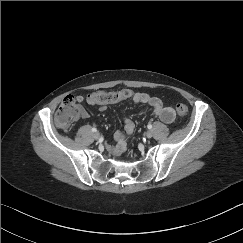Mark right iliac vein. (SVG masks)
<instances>
[{
  "label": "right iliac vein",
  "instance_id": "1",
  "mask_svg": "<svg viewBox=\"0 0 243 243\" xmlns=\"http://www.w3.org/2000/svg\"><path fill=\"white\" fill-rule=\"evenodd\" d=\"M99 137H100L99 133L96 132V133L93 134V138L95 140L99 139Z\"/></svg>",
  "mask_w": 243,
  "mask_h": 243
}]
</instances>
